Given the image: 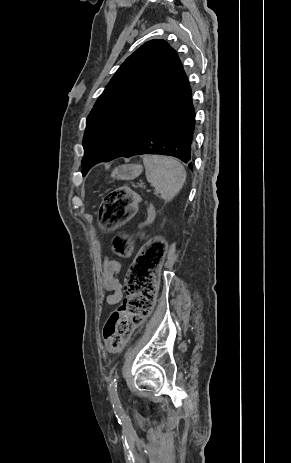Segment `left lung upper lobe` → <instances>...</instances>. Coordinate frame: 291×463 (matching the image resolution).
I'll return each instance as SVG.
<instances>
[{
    "instance_id": "obj_1",
    "label": "left lung upper lobe",
    "mask_w": 291,
    "mask_h": 463,
    "mask_svg": "<svg viewBox=\"0 0 291 463\" xmlns=\"http://www.w3.org/2000/svg\"><path fill=\"white\" fill-rule=\"evenodd\" d=\"M189 85L183 65L164 40L130 55L96 101L86 121L82 174L100 159L130 151Z\"/></svg>"
}]
</instances>
